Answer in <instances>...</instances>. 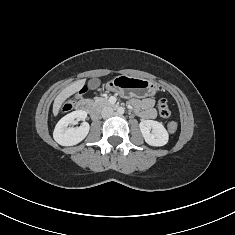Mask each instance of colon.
<instances>
[{
	"label": "colon",
	"mask_w": 235,
	"mask_h": 235,
	"mask_svg": "<svg viewBox=\"0 0 235 235\" xmlns=\"http://www.w3.org/2000/svg\"><path fill=\"white\" fill-rule=\"evenodd\" d=\"M86 91V89L84 88L82 90V92L84 93ZM72 108V103L71 102H66L64 105H63V111H69L71 110ZM157 108H158V111H159V114L163 117V118H168L170 117L171 115V110H170V107L168 105V102L166 99H160L158 101V104H157ZM177 123L176 122H170L167 126V129L169 131V133L173 134L177 131Z\"/></svg>",
	"instance_id": "colon-1"
}]
</instances>
